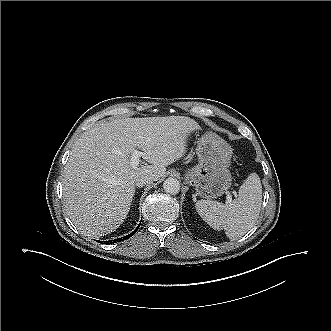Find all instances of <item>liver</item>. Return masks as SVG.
<instances>
[{
	"instance_id": "liver-1",
	"label": "liver",
	"mask_w": 331,
	"mask_h": 331,
	"mask_svg": "<svg viewBox=\"0 0 331 331\" xmlns=\"http://www.w3.org/2000/svg\"><path fill=\"white\" fill-rule=\"evenodd\" d=\"M198 128L184 116L111 120L85 132L64 170L63 197L70 219L86 236L116 230L127 217L141 175L159 180L185 154L187 135ZM150 165L130 166L134 150Z\"/></svg>"
}]
</instances>
